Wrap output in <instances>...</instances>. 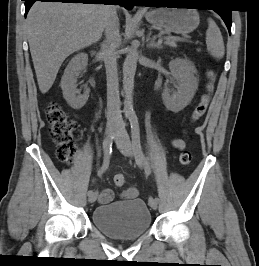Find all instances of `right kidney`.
<instances>
[{
  "instance_id": "obj_1",
  "label": "right kidney",
  "mask_w": 259,
  "mask_h": 266,
  "mask_svg": "<svg viewBox=\"0 0 259 266\" xmlns=\"http://www.w3.org/2000/svg\"><path fill=\"white\" fill-rule=\"evenodd\" d=\"M88 55L78 53L67 65L61 79V89L63 97L73 109H81L89 98L90 89L86 87L83 94L77 90V79L87 67Z\"/></svg>"
}]
</instances>
